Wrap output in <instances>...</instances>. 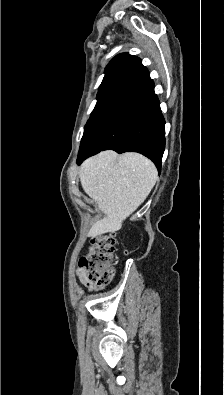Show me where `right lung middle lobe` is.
Segmentation results:
<instances>
[{
	"label": "right lung middle lobe",
	"mask_w": 224,
	"mask_h": 395,
	"mask_svg": "<svg viewBox=\"0 0 224 395\" xmlns=\"http://www.w3.org/2000/svg\"><path fill=\"white\" fill-rule=\"evenodd\" d=\"M117 75H118V73H113L111 75H107V76L104 77V79H103V81H102V83H101V85L99 87V91H98V94H97V104H96L93 112L95 111V109L100 104V102L102 101L104 96L107 94V92L112 87V85L114 83V80L117 77ZM93 112H92V114H93Z\"/></svg>",
	"instance_id": "obj_1"
}]
</instances>
